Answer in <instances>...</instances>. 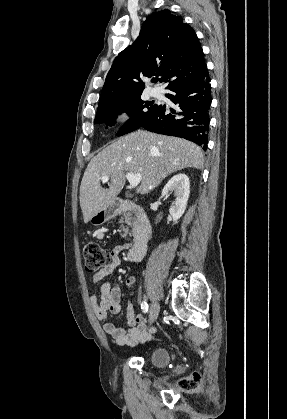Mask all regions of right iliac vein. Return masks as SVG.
<instances>
[{
    "label": "right iliac vein",
    "instance_id": "63e3f726",
    "mask_svg": "<svg viewBox=\"0 0 287 419\" xmlns=\"http://www.w3.org/2000/svg\"><path fill=\"white\" fill-rule=\"evenodd\" d=\"M159 314V304L155 301L152 302L149 314V322L153 323L158 318Z\"/></svg>",
    "mask_w": 287,
    "mask_h": 419
}]
</instances>
